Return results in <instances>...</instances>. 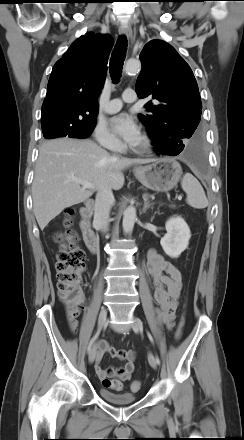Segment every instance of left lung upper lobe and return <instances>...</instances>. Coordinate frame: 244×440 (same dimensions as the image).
<instances>
[{"instance_id":"1","label":"left lung upper lobe","mask_w":244,"mask_h":440,"mask_svg":"<svg viewBox=\"0 0 244 440\" xmlns=\"http://www.w3.org/2000/svg\"><path fill=\"white\" fill-rule=\"evenodd\" d=\"M142 70L136 82L139 98L151 96L139 115L155 146L168 150L196 138L202 104L198 85L189 65L168 43L148 42L140 53Z\"/></svg>"}]
</instances>
